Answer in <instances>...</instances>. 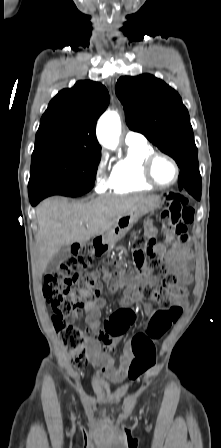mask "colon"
Instances as JSON below:
<instances>
[{
	"instance_id": "5ec220e1",
	"label": "colon",
	"mask_w": 221,
	"mask_h": 448,
	"mask_svg": "<svg viewBox=\"0 0 221 448\" xmlns=\"http://www.w3.org/2000/svg\"><path fill=\"white\" fill-rule=\"evenodd\" d=\"M165 207L158 216L167 237L184 240L188 237L187 226L192 223L194 210L188 198L175 193L164 197ZM154 237H135L133 248L136 262L148 264L150 270L162 279V285L153 288L138 285L136 291L153 299L160 310L145 326L150 340L136 337L133 343L134 359L128 369L130 382H135L155 364L156 355L153 341L161 338L172 324L178 321L182 308L173 303L178 290V277L153 250ZM101 270L92 263V250L88 244L72 248L71 256L60 266L46 274L43 293L53 310V324L70 354L73 365L84 370L86 365L85 345L89 334L73 322V318L86 302L95 300L100 293ZM130 314L135 317L131 310Z\"/></svg>"
}]
</instances>
